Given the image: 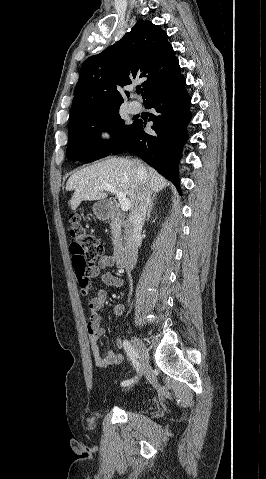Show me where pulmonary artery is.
<instances>
[{
  "mask_svg": "<svg viewBox=\"0 0 266 479\" xmlns=\"http://www.w3.org/2000/svg\"><path fill=\"white\" fill-rule=\"evenodd\" d=\"M142 109V106L139 102L137 101H131L129 103V110L132 112V113H139Z\"/></svg>",
  "mask_w": 266,
  "mask_h": 479,
  "instance_id": "pulmonary-artery-1",
  "label": "pulmonary artery"
}]
</instances>
